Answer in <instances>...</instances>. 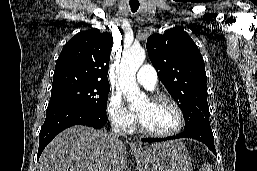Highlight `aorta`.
<instances>
[{
  "mask_svg": "<svg viewBox=\"0 0 257 171\" xmlns=\"http://www.w3.org/2000/svg\"><path fill=\"white\" fill-rule=\"evenodd\" d=\"M145 60V50L142 47H132L123 52L120 64L119 86L130 102L131 108L144 103L147 98L140 92L136 83V72Z\"/></svg>",
  "mask_w": 257,
  "mask_h": 171,
  "instance_id": "aorta-1",
  "label": "aorta"
}]
</instances>
